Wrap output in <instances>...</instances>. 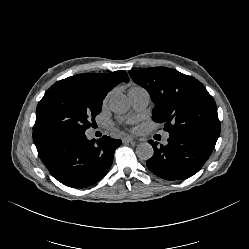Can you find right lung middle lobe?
<instances>
[{"instance_id":"dd1d6c3e","label":"right lung middle lobe","mask_w":249,"mask_h":249,"mask_svg":"<svg viewBox=\"0 0 249 249\" xmlns=\"http://www.w3.org/2000/svg\"><path fill=\"white\" fill-rule=\"evenodd\" d=\"M102 100L81 84L58 81L38 103L33 131L85 132L101 112Z\"/></svg>"}]
</instances>
